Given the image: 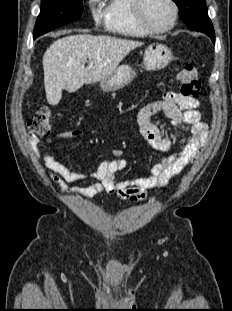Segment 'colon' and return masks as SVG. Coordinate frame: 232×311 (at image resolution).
<instances>
[{
  "mask_svg": "<svg viewBox=\"0 0 232 311\" xmlns=\"http://www.w3.org/2000/svg\"><path fill=\"white\" fill-rule=\"evenodd\" d=\"M181 83V94L187 98L198 100L200 97L201 81L197 67L192 63L185 64L178 73ZM51 112L48 108L40 109L30 120L29 129L39 135L46 134L50 129Z\"/></svg>",
  "mask_w": 232,
  "mask_h": 311,
  "instance_id": "5ec220e1",
  "label": "colon"
}]
</instances>
